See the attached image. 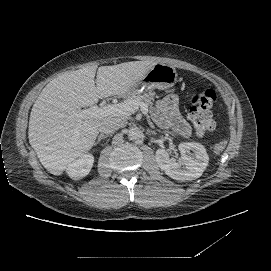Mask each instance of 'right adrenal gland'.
Wrapping results in <instances>:
<instances>
[{
	"label": "right adrenal gland",
	"instance_id": "right-adrenal-gland-1",
	"mask_svg": "<svg viewBox=\"0 0 271 271\" xmlns=\"http://www.w3.org/2000/svg\"><path fill=\"white\" fill-rule=\"evenodd\" d=\"M107 137H108V135L100 134L97 142L95 143V146L98 145L102 139H106Z\"/></svg>",
	"mask_w": 271,
	"mask_h": 271
}]
</instances>
